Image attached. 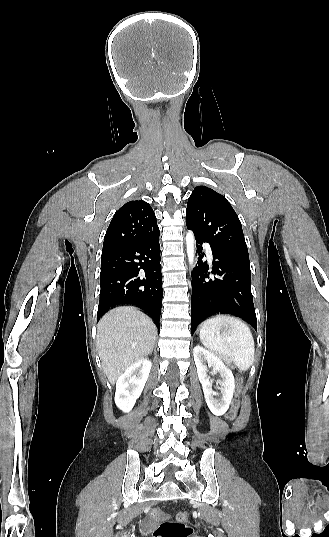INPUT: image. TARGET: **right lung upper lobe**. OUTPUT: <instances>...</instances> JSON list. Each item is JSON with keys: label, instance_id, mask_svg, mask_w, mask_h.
Segmentation results:
<instances>
[{"label": "right lung upper lobe", "instance_id": "obj_1", "mask_svg": "<svg viewBox=\"0 0 329 537\" xmlns=\"http://www.w3.org/2000/svg\"><path fill=\"white\" fill-rule=\"evenodd\" d=\"M158 229L151 206L142 201H130L114 215L106 231L103 251L119 249L141 241Z\"/></svg>", "mask_w": 329, "mask_h": 537}]
</instances>
